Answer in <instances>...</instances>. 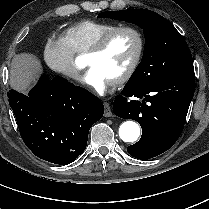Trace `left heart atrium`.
Here are the masks:
<instances>
[{
  "instance_id": "1",
  "label": "left heart atrium",
  "mask_w": 209,
  "mask_h": 209,
  "mask_svg": "<svg viewBox=\"0 0 209 209\" xmlns=\"http://www.w3.org/2000/svg\"><path fill=\"white\" fill-rule=\"evenodd\" d=\"M82 81L89 88L103 94L106 92L107 87L114 83L109 79L100 69L95 66H90L82 76Z\"/></svg>"
}]
</instances>
